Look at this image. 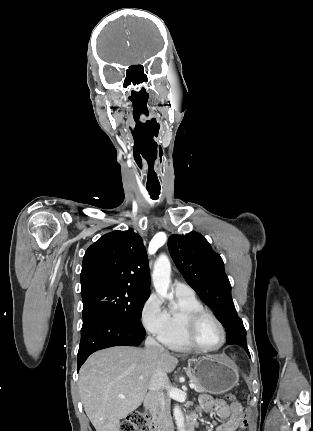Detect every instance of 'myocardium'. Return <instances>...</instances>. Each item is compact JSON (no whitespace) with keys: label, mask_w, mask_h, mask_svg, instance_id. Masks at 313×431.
Masks as SVG:
<instances>
[{"label":"myocardium","mask_w":313,"mask_h":431,"mask_svg":"<svg viewBox=\"0 0 313 431\" xmlns=\"http://www.w3.org/2000/svg\"><path fill=\"white\" fill-rule=\"evenodd\" d=\"M205 317L211 318L218 325V327L220 329L221 340H220V343L215 347H205V346L201 345L196 339L195 333H196V330L198 328V325L201 322V320L204 319ZM185 337H186V340L188 341V343L193 348L200 350V351L212 352V351H217L223 347V345L225 344V341H226V331H225V328H224L222 322L219 320V318L214 313H212L211 311L206 310V309H201V310H198V311L192 313L189 316V318L187 319L186 327H185Z\"/></svg>","instance_id":"myocardium-1"}]
</instances>
